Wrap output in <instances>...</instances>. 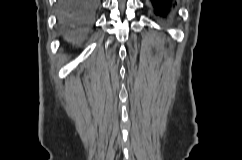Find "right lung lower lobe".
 <instances>
[{
  "mask_svg": "<svg viewBox=\"0 0 242 160\" xmlns=\"http://www.w3.org/2000/svg\"><path fill=\"white\" fill-rule=\"evenodd\" d=\"M101 0H59V24L65 39L74 42L91 24Z\"/></svg>",
  "mask_w": 242,
  "mask_h": 160,
  "instance_id": "right-lung-lower-lobe-1",
  "label": "right lung lower lobe"
}]
</instances>
